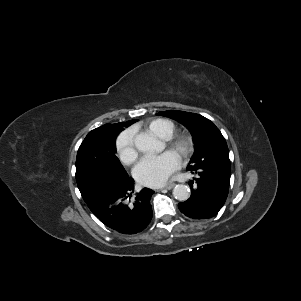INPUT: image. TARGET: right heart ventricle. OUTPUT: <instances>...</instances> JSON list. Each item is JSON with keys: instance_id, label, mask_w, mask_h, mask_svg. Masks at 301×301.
I'll return each instance as SVG.
<instances>
[{"instance_id": "right-heart-ventricle-1", "label": "right heart ventricle", "mask_w": 301, "mask_h": 301, "mask_svg": "<svg viewBox=\"0 0 301 301\" xmlns=\"http://www.w3.org/2000/svg\"><path fill=\"white\" fill-rule=\"evenodd\" d=\"M145 128L159 138L168 139L175 131V124L167 119H155L147 123Z\"/></svg>"}]
</instances>
